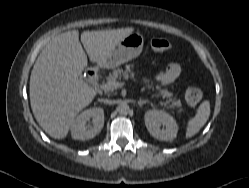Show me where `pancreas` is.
I'll use <instances>...</instances> for the list:
<instances>
[{"label":"pancreas","mask_w":249,"mask_h":188,"mask_svg":"<svg viewBox=\"0 0 249 188\" xmlns=\"http://www.w3.org/2000/svg\"><path fill=\"white\" fill-rule=\"evenodd\" d=\"M131 67H132V65H126L125 70H123L122 68L115 69L112 72V74H110L107 77V84L113 83V82H118V80H120L122 77L127 79L130 76L132 79H135V73L131 70ZM156 88L159 90V95H161L163 97H167L169 99L171 108H173V109L179 108V110L177 112L180 114L182 111L181 101L176 100V98L173 97V94L171 92H169L167 89H162L161 86H159V85ZM104 91L105 92H112L113 90H104Z\"/></svg>","instance_id":"cf45deb5"}]
</instances>
